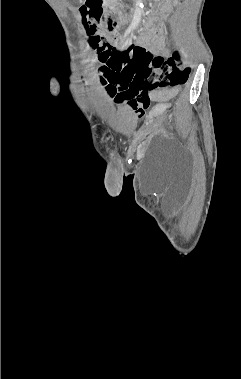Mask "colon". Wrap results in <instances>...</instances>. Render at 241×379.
Masks as SVG:
<instances>
[{
	"instance_id": "obj_1",
	"label": "colon",
	"mask_w": 241,
	"mask_h": 379,
	"mask_svg": "<svg viewBox=\"0 0 241 379\" xmlns=\"http://www.w3.org/2000/svg\"><path fill=\"white\" fill-rule=\"evenodd\" d=\"M89 43L103 64L97 75L100 82H109V89H138L139 83L151 86L175 87L184 83L188 69H180V54L164 59L153 56L144 46L129 43L122 48L112 44L111 30L99 25L106 17L103 0H85L80 7ZM159 34L161 29H157Z\"/></svg>"
}]
</instances>
